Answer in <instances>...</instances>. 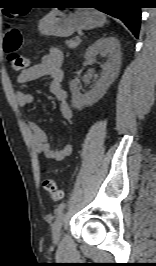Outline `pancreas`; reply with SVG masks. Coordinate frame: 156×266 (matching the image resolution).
I'll return each instance as SVG.
<instances>
[{
  "label": "pancreas",
  "instance_id": "cf45deb5",
  "mask_svg": "<svg viewBox=\"0 0 156 266\" xmlns=\"http://www.w3.org/2000/svg\"><path fill=\"white\" fill-rule=\"evenodd\" d=\"M80 42H81L80 39L79 40L78 39H74V40L70 39V40L66 41V44L69 48H76L80 44Z\"/></svg>",
  "mask_w": 156,
  "mask_h": 266
}]
</instances>
